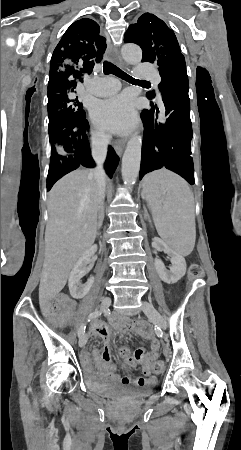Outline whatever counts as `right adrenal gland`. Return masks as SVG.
I'll use <instances>...</instances> for the list:
<instances>
[{"instance_id":"obj_1","label":"right adrenal gland","mask_w":241,"mask_h":450,"mask_svg":"<svg viewBox=\"0 0 241 450\" xmlns=\"http://www.w3.org/2000/svg\"><path fill=\"white\" fill-rule=\"evenodd\" d=\"M102 222H103V220H99V222H98L99 228H100V226H102Z\"/></svg>"}]
</instances>
